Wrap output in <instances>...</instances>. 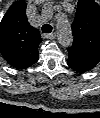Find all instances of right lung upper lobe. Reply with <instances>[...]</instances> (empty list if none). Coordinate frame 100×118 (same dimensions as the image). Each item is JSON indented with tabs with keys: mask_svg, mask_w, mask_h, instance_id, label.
I'll use <instances>...</instances> for the list:
<instances>
[{
	"mask_svg": "<svg viewBox=\"0 0 100 118\" xmlns=\"http://www.w3.org/2000/svg\"><path fill=\"white\" fill-rule=\"evenodd\" d=\"M24 0L14 2L0 23V51L17 69H26L38 60L41 36L26 17Z\"/></svg>",
	"mask_w": 100,
	"mask_h": 118,
	"instance_id": "obj_1",
	"label": "right lung upper lobe"
}]
</instances>
